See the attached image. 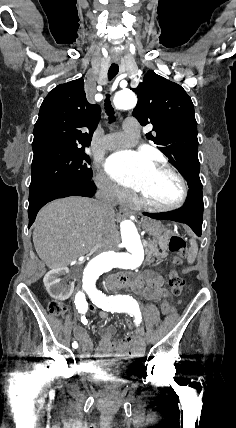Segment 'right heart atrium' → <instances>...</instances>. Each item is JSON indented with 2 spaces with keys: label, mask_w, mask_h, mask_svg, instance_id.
Returning a JSON list of instances; mask_svg holds the SVG:
<instances>
[{
  "label": "right heart atrium",
  "mask_w": 236,
  "mask_h": 428,
  "mask_svg": "<svg viewBox=\"0 0 236 428\" xmlns=\"http://www.w3.org/2000/svg\"><path fill=\"white\" fill-rule=\"evenodd\" d=\"M93 181L98 193L105 200H113L114 204H121L129 200L131 194L115 184L103 172H97Z\"/></svg>",
  "instance_id": "d8ad5b80"
}]
</instances>
